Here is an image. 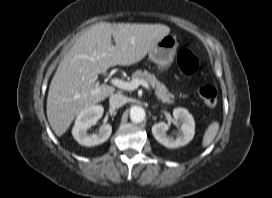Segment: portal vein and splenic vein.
<instances>
[{
  "mask_svg": "<svg viewBox=\"0 0 272 198\" xmlns=\"http://www.w3.org/2000/svg\"><path fill=\"white\" fill-rule=\"evenodd\" d=\"M111 83L114 86H116V87H118L120 89H123V90H127V91L135 90L140 85H142L144 88H146L148 91H150V87H149L148 83L146 81H144V80L135 79V80H132L130 82H126V81H123V80L118 79V78H112ZM98 91H99V88H97L95 90L96 93Z\"/></svg>",
  "mask_w": 272,
  "mask_h": 198,
  "instance_id": "18ae733b",
  "label": "portal vein and splenic vein"
}]
</instances>
